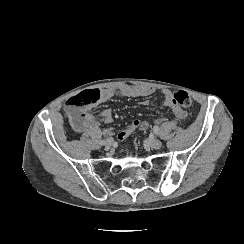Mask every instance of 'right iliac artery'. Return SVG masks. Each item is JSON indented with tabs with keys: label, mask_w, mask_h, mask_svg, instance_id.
<instances>
[{
	"label": "right iliac artery",
	"mask_w": 244,
	"mask_h": 244,
	"mask_svg": "<svg viewBox=\"0 0 244 244\" xmlns=\"http://www.w3.org/2000/svg\"><path fill=\"white\" fill-rule=\"evenodd\" d=\"M100 144H101V145H105V140H102V141L100 142Z\"/></svg>",
	"instance_id": "82829eb1"
}]
</instances>
